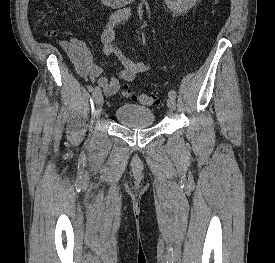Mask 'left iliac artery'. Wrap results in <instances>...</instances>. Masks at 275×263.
I'll list each match as a JSON object with an SVG mask.
<instances>
[{
	"label": "left iliac artery",
	"instance_id": "1",
	"mask_svg": "<svg viewBox=\"0 0 275 263\" xmlns=\"http://www.w3.org/2000/svg\"><path fill=\"white\" fill-rule=\"evenodd\" d=\"M168 96L172 98H176L177 92L175 90H170L168 93Z\"/></svg>",
	"mask_w": 275,
	"mask_h": 263
}]
</instances>
